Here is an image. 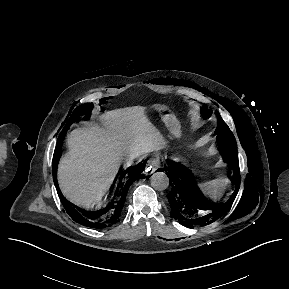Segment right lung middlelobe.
<instances>
[{
	"label": "right lung middle lobe",
	"mask_w": 289,
	"mask_h": 289,
	"mask_svg": "<svg viewBox=\"0 0 289 289\" xmlns=\"http://www.w3.org/2000/svg\"><path fill=\"white\" fill-rule=\"evenodd\" d=\"M93 109V104L92 103H86L83 105H80L75 108L73 113L71 114L68 122L64 126L63 130H68L69 126L74 123L79 121V117L84 116V118H89L91 115V111ZM62 130V131H63Z\"/></svg>",
	"instance_id": "dd1d6c3e"
}]
</instances>
